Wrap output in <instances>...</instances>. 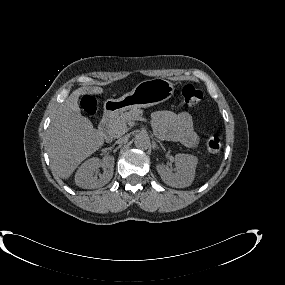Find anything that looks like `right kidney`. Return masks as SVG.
Returning a JSON list of instances; mask_svg holds the SVG:
<instances>
[{"label":"right kidney","mask_w":285,"mask_h":285,"mask_svg":"<svg viewBox=\"0 0 285 285\" xmlns=\"http://www.w3.org/2000/svg\"><path fill=\"white\" fill-rule=\"evenodd\" d=\"M103 167V174L98 178L93 176L94 172ZM114 157L106 156L102 160L90 158L85 161L75 174V183L77 186L85 189L99 188L107 184L113 177Z\"/></svg>","instance_id":"obj_1"}]
</instances>
